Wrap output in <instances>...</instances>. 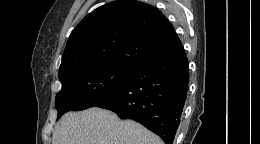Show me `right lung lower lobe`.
<instances>
[{
    "label": "right lung lower lobe",
    "instance_id": "obj_1",
    "mask_svg": "<svg viewBox=\"0 0 260 144\" xmlns=\"http://www.w3.org/2000/svg\"><path fill=\"white\" fill-rule=\"evenodd\" d=\"M189 65L182 46L134 67L126 82L96 107L133 119L173 144L186 101Z\"/></svg>",
    "mask_w": 260,
    "mask_h": 144
}]
</instances>
